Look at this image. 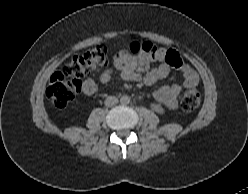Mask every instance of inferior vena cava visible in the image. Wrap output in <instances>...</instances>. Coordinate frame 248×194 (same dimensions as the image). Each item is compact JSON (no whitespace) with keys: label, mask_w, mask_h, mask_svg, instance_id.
Instances as JSON below:
<instances>
[{"label":"inferior vena cava","mask_w":248,"mask_h":194,"mask_svg":"<svg viewBox=\"0 0 248 194\" xmlns=\"http://www.w3.org/2000/svg\"><path fill=\"white\" fill-rule=\"evenodd\" d=\"M118 103V99L114 96H108L105 100V105L108 107L114 106Z\"/></svg>","instance_id":"602c4592"}]
</instances>
